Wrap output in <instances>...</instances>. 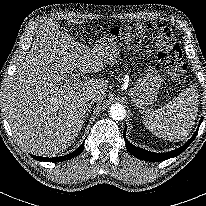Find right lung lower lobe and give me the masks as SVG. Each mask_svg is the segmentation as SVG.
<instances>
[{
	"instance_id": "obj_1",
	"label": "right lung lower lobe",
	"mask_w": 206,
	"mask_h": 206,
	"mask_svg": "<svg viewBox=\"0 0 206 206\" xmlns=\"http://www.w3.org/2000/svg\"><path fill=\"white\" fill-rule=\"evenodd\" d=\"M84 148V142L72 153H69L65 156L61 157H54V158H47V157H39V156H34L31 155L32 158H34L37 161H46V162H61V161H66L69 160L75 156H77Z\"/></svg>"
}]
</instances>
